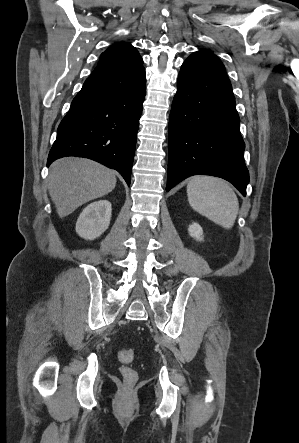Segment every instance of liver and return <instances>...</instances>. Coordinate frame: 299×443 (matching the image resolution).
Returning <instances> with one entry per match:
<instances>
[{
  "mask_svg": "<svg viewBox=\"0 0 299 443\" xmlns=\"http://www.w3.org/2000/svg\"><path fill=\"white\" fill-rule=\"evenodd\" d=\"M115 186L116 177L112 170L86 158L65 157L50 166L48 191L60 218L107 195Z\"/></svg>",
  "mask_w": 299,
  "mask_h": 443,
  "instance_id": "obj_1",
  "label": "liver"
}]
</instances>
